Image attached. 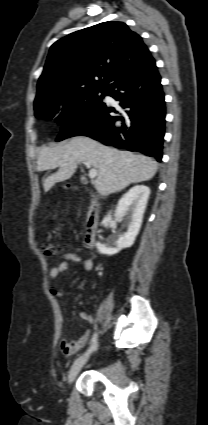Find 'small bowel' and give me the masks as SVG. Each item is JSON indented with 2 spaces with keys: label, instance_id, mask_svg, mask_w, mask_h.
I'll use <instances>...</instances> for the list:
<instances>
[{
  "label": "small bowel",
  "instance_id": "obj_1",
  "mask_svg": "<svg viewBox=\"0 0 208 425\" xmlns=\"http://www.w3.org/2000/svg\"><path fill=\"white\" fill-rule=\"evenodd\" d=\"M70 263L82 264L83 268L87 271L92 270L94 265L93 260L91 258L83 257L78 252H68L64 255L63 261L50 270V277L53 279L58 278L64 271L68 269ZM50 292L56 298H62L64 295L62 291L55 288H52ZM80 318L89 323L93 322V317L87 312H80ZM89 336L90 333L85 332L79 338L73 341H69L65 338H62L59 342L61 352L65 355L74 354L85 346L89 339Z\"/></svg>",
  "mask_w": 208,
  "mask_h": 425
}]
</instances>
